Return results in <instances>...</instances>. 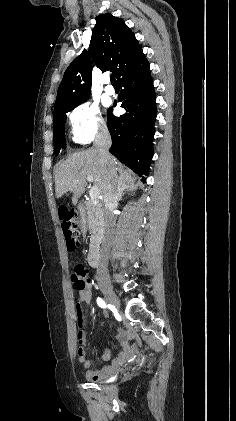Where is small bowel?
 I'll list each match as a JSON object with an SVG mask.
<instances>
[{
  "label": "small bowel",
  "mask_w": 236,
  "mask_h": 421,
  "mask_svg": "<svg viewBox=\"0 0 236 421\" xmlns=\"http://www.w3.org/2000/svg\"><path fill=\"white\" fill-rule=\"evenodd\" d=\"M91 296H92V293H91V289H90L89 286H87L86 289H84L83 291H80L79 292V303L77 305L79 323L82 322V314H81V311H80L81 306L83 304H88L91 301ZM84 339H85V332L83 330H81L79 332V340H80V342H83ZM104 355L107 358H109V354L108 353H105ZM79 357H80V361L83 363L84 367L85 368H89V361L86 359L85 351L83 352V354L81 356L79 355ZM88 373H89V371L86 374L87 377H89V374Z\"/></svg>",
  "instance_id": "obj_1"
}]
</instances>
